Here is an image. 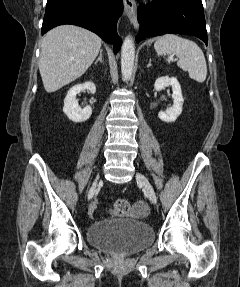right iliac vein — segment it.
I'll return each mask as SVG.
<instances>
[{
  "instance_id": "right-iliac-vein-1",
  "label": "right iliac vein",
  "mask_w": 240,
  "mask_h": 287,
  "mask_svg": "<svg viewBox=\"0 0 240 287\" xmlns=\"http://www.w3.org/2000/svg\"><path fill=\"white\" fill-rule=\"evenodd\" d=\"M100 183H101V179L99 177L96 178V180L93 182V184H92V186L88 192V198H91L94 195L95 190H96L98 184H100Z\"/></svg>"
}]
</instances>
